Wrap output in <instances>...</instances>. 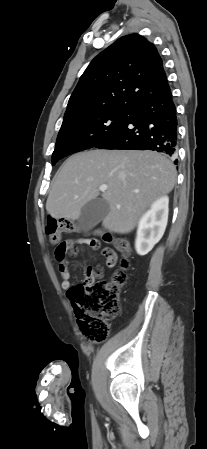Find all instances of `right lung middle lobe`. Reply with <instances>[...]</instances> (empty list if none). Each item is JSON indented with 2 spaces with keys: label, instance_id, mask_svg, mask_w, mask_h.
<instances>
[{
  "label": "right lung middle lobe",
  "instance_id": "1",
  "mask_svg": "<svg viewBox=\"0 0 207 449\" xmlns=\"http://www.w3.org/2000/svg\"><path fill=\"white\" fill-rule=\"evenodd\" d=\"M131 108L101 109L68 118L59 131L52 165L70 154L96 146L117 132L132 115Z\"/></svg>",
  "mask_w": 207,
  "mask_h": 449
}]
</instances>
